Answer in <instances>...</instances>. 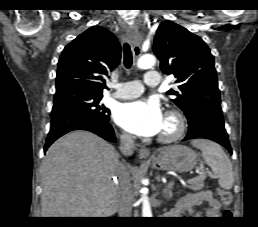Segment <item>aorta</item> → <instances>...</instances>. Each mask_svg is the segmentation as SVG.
I'll list each match as a JSON object with an SVG mask.
<instances>
[{
    "instance_id": "obj_1",
    "label": "aorta",
    "mask_w": 258,
    "mask_h": 227,
    "mask_svg": "<svg viewBox=\"0 0 258 227\" xmlns=\"http://www.w3.org/2000/svg\"><path fill=\"white\" fill-rule=\"evenodd\" d=\"M154 64H155V57L150 54L141 56L137 62V66L140 69L151 68ZM141 193H142V196L140 200L142 202V217H152V210L147 196V193H148L147 188L145 187L142 188Z\"/></svg>"
}]
</instances>
